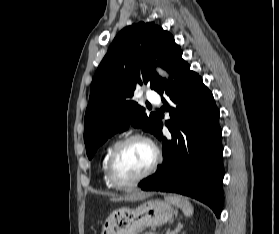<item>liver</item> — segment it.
Here are the masks:
<instances>
[{
  "instance_id": "liver-1",
  "label": "liver",
  "mask_w": 279,
  "mask_h": 234,
  "mask_svg": "<svg viewBox=\"0 0 279 234\" xmlns=\"http://www.w3.org/2000/svg\"><path fill=\"white\" fill-rule=\"evenodd\" d=\"M149 196L148 193H144L141 191H136L129 193L125 196H120V197H113L111 198L112 202H120V201H137V200H143Z\"/></svg>"
}]
</instances>
